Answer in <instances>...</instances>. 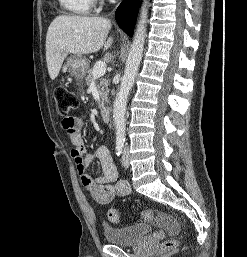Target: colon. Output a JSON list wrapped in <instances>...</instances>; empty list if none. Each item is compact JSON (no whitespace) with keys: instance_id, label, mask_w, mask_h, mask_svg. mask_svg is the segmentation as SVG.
Masks as SVG:
<instances>
[{"instance_id":"5ec220e1","label":"colon","mask_w":247,"mask_h":257,"mask_svg":"<svg viewBox=\"0 0 247 257\" xmlns=\"http://www.w3.org/2000/svg\"><path fill=\"white\" fill-rule=\"evenodd\" d=\"M55 100H56V109L58 114L62 118V123L65 125H69L71 123V113L75 111L79 106V100L77 96L70 90L65 87H57L55 89ZM142 217L151 221L154 220V215L152 211L146 210L142 213ZM108 218L111 222L117 223L121 220V215L119 211L112 209L108 212ZM177 246V240L169 239L166 240L161 249L165 252L173 250Z\"/></svg>"}]
</instances>
